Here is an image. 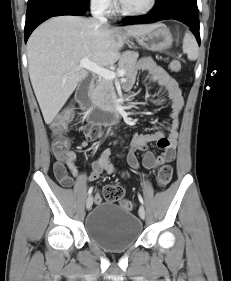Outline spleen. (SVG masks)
Wrapping results in <instances>:
<instances>
[{"mask_svg": "<svg viewBox=\"0 0 231 281\" xmlns=\"http://www.w3.org/2000/svg\"><path fill=\"white\" fill-rule=\"evenodd\" d=\"M182 47L189 60L194 61L198 58V45L196 39L191 33L185 34Z\"/></svg>", "mask_w": 231, "mask_h": 281, "instance_id": "obj_1", "label": "spleen"}]
</instances>
